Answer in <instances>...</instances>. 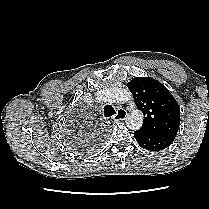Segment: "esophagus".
Returning <instances> with one entry per match:
<instances>
[{
	"instance_id": "1",
	"label": "esophagus",
	"mask_w": 209,
	"mask_h": 209,
	"mask_svg": "<svg viewBox=\"0 0 209 209\" xmlns=\"http://www.w3.org/2000/svg\"><path fill=\"white\" fill-rule=\"evenodd\" d=\"M127 116V111L123 108H119L117 110V113L112 117L113 121H120L124 120Z\"/></svg>"
}]
</instances>
